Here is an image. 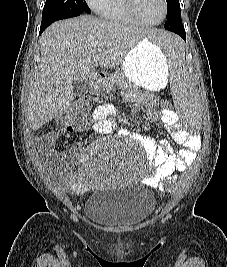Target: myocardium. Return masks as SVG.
<instances>
[{"label":"myocardium","mask_w":227,"mask_h":267,"mask_svg":"<svg viewBox=\"0 0 227 267\" xmlns=\"http://www.w3.org/2000/svg\"><path fill=\"white\" fill-rule=\"evenodd\" d=\"M124 1H125V7L127 11L129 12V14L135 20H137L140 24L147 25V26H156V25L161 24L167 17V13H168L167 0H161L163 4V14H162L161 19L156 22H148L141 17V15L139 14L137 10V0H124Z\"/></svg>","instance_id":"obj_1"}]
</instances>
